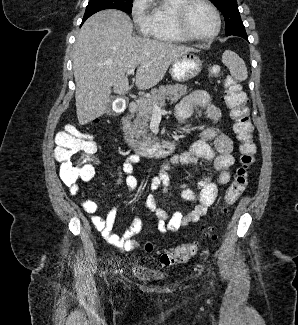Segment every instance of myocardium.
<instances>
[{"mask_svg": "<svg viewBox=\"0 0 298 325\" xmlns=\"http://www.w3.org/2000/svg\"><path fill=\"white\" fill-rule=\"evenodd\" d=\"M195 4L205 7L215 20V30L207 39H200L193 35L186 27L184 21L188 10ZM172 28L174 32L187 41L202 44L211 43L220 33V19L214 8L204 0H176L172 6Z\"/></svg>", "mask_w": 298, "mask_h": 325, "instance_id": "f54148a6", "label": "myocardium"}]
</instances>
